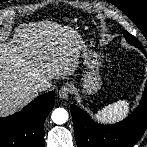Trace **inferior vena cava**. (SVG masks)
<instances>
[{
	"mask_svg": "<svg viewBox=\"0 0 147 147\" xmlns=\"http://www.w3.org/2000/svg\"><path fill=\"white\" fill-rule=\"evenodd\" d=\"M51 83L46 79H40L34 84L35 90L46 91L50 88Z\"/></svg>",
	"mask_w": 147,
	"mask_h": 147,
	"instance_id": "obj_1",
	"label": "inferior vena cava"
}]
</instances>
